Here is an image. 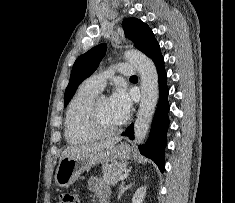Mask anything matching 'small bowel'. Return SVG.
I'll list each match as a JSON object with an SVG mask.
<instances>
[{
  "instance_id": "1",
  "label": "small bowel",
  "mask_w": 235,
  "mask_h": 203,
  "mask_svg": "<svg viewBox=\"0 0 235 203\" xmlns=\"http://www.w3.org/2000/svg\"><path fill=\"white\" fill-rule=\"evenodd\" d=\"M88 187L89 190L96 194V196L99 198L100 203H102V201H107L109 197V188L100 178H91L88 182Z\"/></svg>"
}]
</instances>
